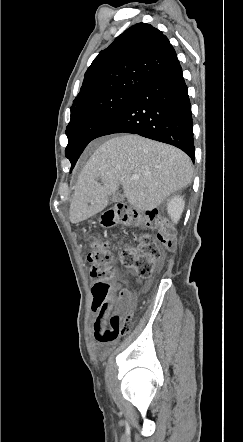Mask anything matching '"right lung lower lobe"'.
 Here are the masks:
<instances>
[{"mask_svg":"<svg viewBox=\"0 0 243 442\" xmlns=\"http://www.w3.org/2000/svg\"><path fill=\"white\" fill-rule=\"evenodd\" d=\"M122 132L176 146L194 162L191 103L177 57L138 87L95 137Z\"/></svg>","mask_w":243,"mask_h":442,"instance_id":"1","label":"right lung lower lobe"}]
</instances>
